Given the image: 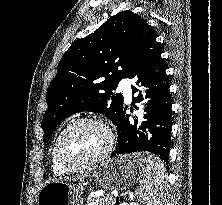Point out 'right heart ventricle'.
<instances>
[{
	"label": "right heart ventricle",
	"instance_id": "1",
	"mask_svg": "<svg viewBox=\"0 0 222 205\" xmlns=\"http://www.w3.org/2000/svg\"><path fill=\"white\" fill-rule=\"evenodd\" d=\"M51 163H52L53 172L56 175H65V174H68L72 171V170H68V169L62 167L58 163V161L56 159V156H55V143L53 144V147H52V150H51Z\"/></svg>",
	"mask_w": 222,
	"mask_h": 205
}]
</instances>
